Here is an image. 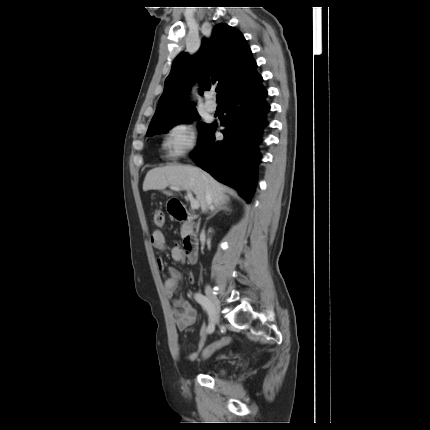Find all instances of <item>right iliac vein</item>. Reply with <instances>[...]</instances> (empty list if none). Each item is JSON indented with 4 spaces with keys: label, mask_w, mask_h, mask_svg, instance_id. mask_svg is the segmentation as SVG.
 Returning a JSON list of instances; mask_svg holds the SVG:
<instances>
[{
    "label": "right iliac vein",
    "mask_w": 430,
    "mask_h": 430,
    "mask_svg": "<svg viewBox=\"0 0 430 430\" xmlns=\"http://www.w3.org/2000/svg\"><path fill=\"white\" fill-rule=\"evenodd\" d=\"M205 293L209 301V310H210V320L213 324H216L220 320L219 312L216 307V299L213 294V291L209 285L205 287Z\"/></svg>",
    "instance_id": "right-iliac-vein-1"
}]
</instances>
